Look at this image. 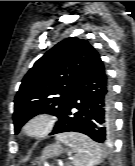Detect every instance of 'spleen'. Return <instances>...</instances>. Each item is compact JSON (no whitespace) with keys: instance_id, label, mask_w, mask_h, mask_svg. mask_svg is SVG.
I'll use <instances>...</instances> for the list:
<instances>
[{"instance_id":"3e777b00","label":"spleen","mask_w":135,"mask_h":166,"mask_svg":"<svg viewBox=\"0 0 135 166\" xmlns=\"http://www.w3.org/2000/svg\"><path fill=\"white\" fill-rule=\"evenodd\" d=\"M56 139L69 146L74 153L72 166H95L100 163L102 158L101 147L88 136L69 132L58 134Z\"/></svg>"}]
</instances>
